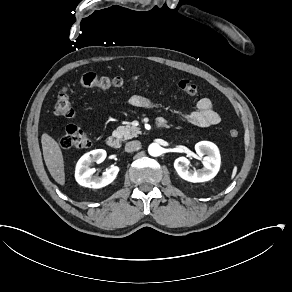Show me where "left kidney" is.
<instances>
[{
  "label": "left kidney",
  "mask_w": 292,
  "mask_h": 292,
  "mask_svg": "<svg viewBox=\"0 0 292 292\" xmlns=\"http://www.w3.org/2000/svg\"><path fill=\"white\" fill-rule=\"evenodd\" d=\"M195 151L197 155L204 159V168L195 172L190 171L188 166L191 161L185 156L178 157L174 161V168L178 175L188 182L201 183L210 181L217 175L220 167L218 148L211 142L201 141L195 145Z\"/></svg>",
  "instance_id": "1"
}]
</instances>
